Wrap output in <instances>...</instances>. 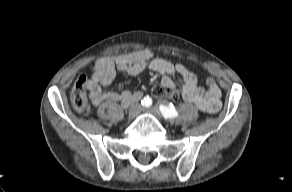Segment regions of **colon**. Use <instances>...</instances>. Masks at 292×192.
<instances>
[{"instance_id": "5ec220e1", "label": "colon", "mask_w": 292, "mask_h": 192, "mask_svg": "<svg viewBox=\"0 0 292 192\" xmlns=\"http://www.w3.org/2000/svg\"><path fill=\"white\" fill-rule=\"evenodd\" d=\"M87 82V76L82 75L78 78L71 90L70 101L72 107L77 112H83L88 106ZM151 93L153 96L159 99L174 98L173 93L168 88L162 85L152 87Z\"/></svg>"}]
</instances>
